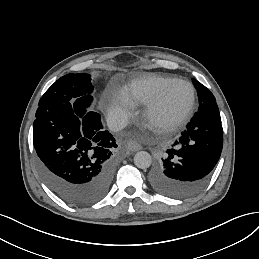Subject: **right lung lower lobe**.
Here are the masks:
<instances>
[{
	"label": "right lung lower lobe",
	"instance_id": "98d812e1",
	"mask_svg": "<svg viewBox=\"0 0 259 259\" xmlns=\"http://www.w3.org/2000/svg\"><path fill=\"white\" fill-rule=\"evenodd\" d=\"M33 144L39 172L50 189L74 206L92 204L109 191L114 137L103 129L99 113L82 114L71 103L39 106Z\"/></svg>",
	"mask_w": 259,
	"mask_h": 259
}]
</instances>
